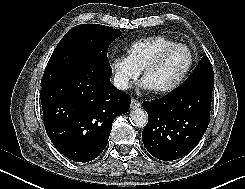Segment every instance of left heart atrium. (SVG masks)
Instances as JSON below:
<instances>
[{"mask_svg": "<svg viewBox=\"0 0 245 189\" xmlns=\"http://www.w3.org/2000/svg\"><path fill=\"white\" fill-rule=\"evenodd\" d=\"M140 86L145 90H153L144 79L141 81Z\"/></svg>", "mask_w": 245, "mask_h": 189, "instance_id": "obj_1", "label": "left heart atrium"}]
</instances>
